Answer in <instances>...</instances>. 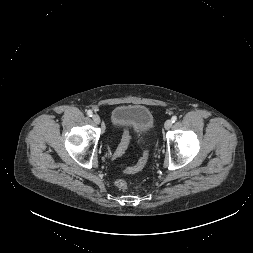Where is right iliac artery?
<instances>
[{"mask_svg":"<svg viewBox=\"0 0 253 253\" xmlns=\"http://www.w3.org/2000/svg\"><path fill=\"white\" fill-rule=\"evenodd\" d=\"M92 114H93V113H92L91 110H88V111H87V115H88L89 117H92Z\"/></svg>","mask_w":253,"mask_h":253,"instance_id":"82829eb1","label":"right iliac artery"}]
</instances>
